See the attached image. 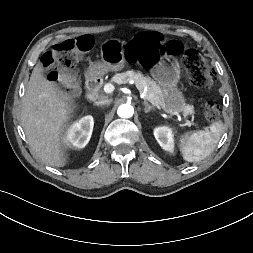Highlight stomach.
Masks as SVG:
<instances>
[{
	"instance_id": "stomach-1",
	"label": "stomach",
	"mask_w": 253,
	"mask_h": 253,
	"mask_svg": "<svg viewBox=\"0 0 253 253\" xmlns=\"http://www.w3.org/2000/svg\"><path fill=\"white\" fill-rule=\"evenodd\" d=\"M101 61L89 68L91 77L118 72L125 67L124 42L117 38L105 40L100 46ZM152 77L165 89L164 106L171 114L184 112L187 103L182 92L177 88L180 79V67L177 62L163 60L151 70Z\"/></svg>"
}]
</instances>
